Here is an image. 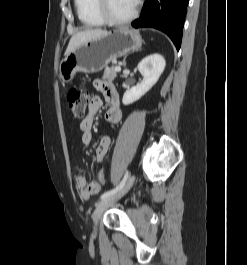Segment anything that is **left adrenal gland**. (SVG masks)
<instances>
[{"instance_id":"a2214340","label":"left adrenal gland","mask_w":247,"mask_h":265,"mask_svg":"<svg viewBox=\"0 0 247 265\" xmlns=\"http://www.w3.org/2000/svg\"><path fill=\"white\" fill-rule=\"evenodd\" d=\"M123 66L124 67L126 66V57H124V59H123Z\"/></svg>"}]
</instances>
